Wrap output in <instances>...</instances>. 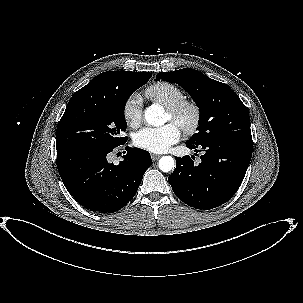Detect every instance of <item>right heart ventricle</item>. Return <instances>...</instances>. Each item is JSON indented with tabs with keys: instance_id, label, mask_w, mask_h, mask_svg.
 <instances>
[{
	"instance_id": "1",
	"label": "right heart ventricle",
	"mask_w": 303,
	"mask_h": 303,
	"mask_svg": "<svg viewBox=\"0 0 303 303\" xmlns=\"http://www.w3.org/2000/svg\"><path fill=\"white\" fill-rule=\"evenodd\" d=\"M146 96L164 107H170L185 99L184 92L176 85L169 82H156L145 90Z\"/></svg>"
}]
</instances>
